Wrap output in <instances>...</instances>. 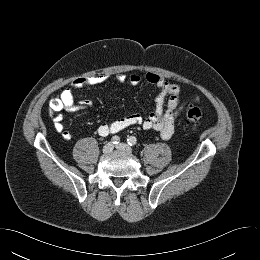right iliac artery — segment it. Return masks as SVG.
Returning a JSON list of instances; mask_svg holds the SVG:
<instances>
[{
	"label": "right iliac artery",
	"mask_w": 260,
	"mask_h": 260,
	"mask_svg": "<svg viewBox=\"0 0 260 260\" xmlns=\"http://www.w3.org/2000/svg\"><path fill=\"white\" fill-rule=\"evenodd\" d=\"M113 144H118L120 142V138L118 136H113L111 139Z\"/></svg>",
	"instance_id": "82829eb1"
}]
</instances>
